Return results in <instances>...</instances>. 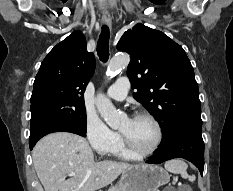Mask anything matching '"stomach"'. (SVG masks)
<instances>
[{
	"instance_id": "0dacf381",
	"label": "stomach",
	"mask_w": 233,
	"mask_h": 191,
	"mask_svg": "<svg viewBox=\"0 0 233 191\" xmlns=\"http://www.w3.org/2000/svg\"><path fill=\"white\" fill-rule=\"evenodd\" d=\"M170 175L159 165L139 164L128 168L116 186L124 191H158Z\"/></svg>"
}]
</instances>
